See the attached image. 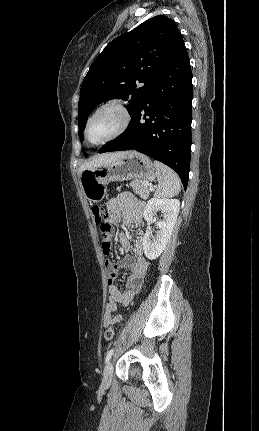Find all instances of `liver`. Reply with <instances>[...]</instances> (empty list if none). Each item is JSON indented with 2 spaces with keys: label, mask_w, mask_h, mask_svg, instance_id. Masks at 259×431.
Instances as JSON below:
<instances>
[{
  "label": "liver",
  "mask_w": 259,
  "mask_h": 431,
  "mask_svg": "<svg viewBox=\"0 0 259 431\" xmlns=\"http://www.w3.org/2000/svg\"><path fill=\"white\" fill-rule=\"evenodd\" d=\"M124 154L125 152H116V153H104V154L97 155L92 159H90L89 161H86L79 167V170H78L79 175L84 170L94 169L96 167H100L102 165L111 163L117 160L119 157H121Z\"/></svg>",
  "instance_id": "obj_1"
}]
</instances>
